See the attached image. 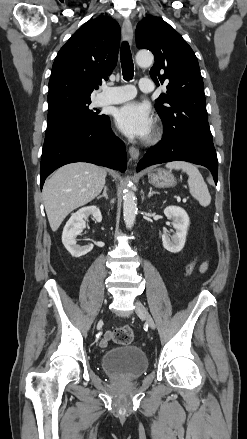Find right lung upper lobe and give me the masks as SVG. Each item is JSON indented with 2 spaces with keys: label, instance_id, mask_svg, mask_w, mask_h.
Masks as SVG:
<instances>
[{
  "label": "right lung upper lobe",
  "instance_id": "obj_1",
  "mask_svg": "<svg viewBox=\"0 0 247 439\" xmlns=\"http://www.w3.org/2000/svg\"><path fill=\"white\" fill-rule=\"evenodd\" d=\"M120 27L112 18L83 24L58 52L49 81L48 108L91 101L93 89L108 80L117 64Z\"/></svg>",
  "mask_w": 247,
  "mask_h": 439
}]
</instances>
